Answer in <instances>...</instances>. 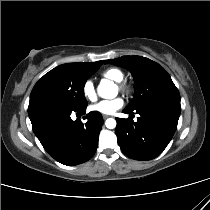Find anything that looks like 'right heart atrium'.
Here are the masks:
<instances>
[{
	"label": "right heart atrium",
	"instance_id": "d8ad5b80",
	"mask_svg": "<svg viewBox=\"0 0 210 210\" xmlns=\"http://www.w3.org/2000/svg\"><path fill=\"white\" fill-rule=\"evenodd\" d=\"M82 94L87 101H95L97 98L96 88L92 80H86L82 85Z\"/></svg>",
	"mask_w": 210,
	"mask_h": 210
}]
</instances>
